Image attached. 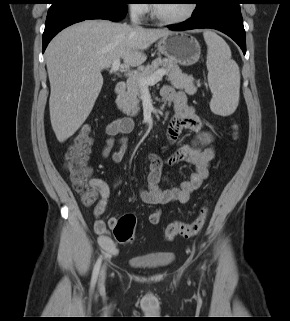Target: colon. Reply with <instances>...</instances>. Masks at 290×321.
Returning <instances> with one entry per match:
<instances>
[{
  "label": "colon",
  "instance_id": "5ec220e1",
  "mask_svg": "<svg viewBox=\"0 0 290 321\" xmlns=\"http://www.w3.org/2000/svg\"><path fill=\"white\" fill-rule=\"evenodd\" d=\"M237 136V126H234ZM92 145V131L88 125L82 126L74 136L65 154V168L69 173L74 189L82 194L86 205H92L97 200L95 189L90 184L92 169L88 163L90 147ZM207 205L201 206L196 218L189 223L175 221L165 229V238L174 240L177 236L192 237L203 228L207 217ZM136 216L132 213L121 216L113 226L115 239L119 243H130L134 239Z\"/></svg>",
  "mask_w": 290,
  "mask_h": 321
}]
</instances>
